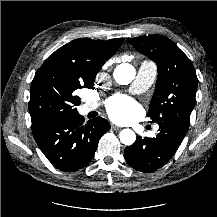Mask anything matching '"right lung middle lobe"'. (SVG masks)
Masks as SVG:
<instances>
[{"label": "right lung middle lobe", "instance_id": "obj_1", "mask_svg": "<svg viewBox=\"0 0 217 217\" xmlns=\"http://www.w3.org/2000/svg\"><path fill=\"white\" fill-rule=\"evenodd\" d=\"M93 79H80L55 67L40 68L32 81L29 110L32 123L77 114L76 90L93 88Z\"/></svg>", "mask_w": 217, "mask_h": 217}]
</instances>
